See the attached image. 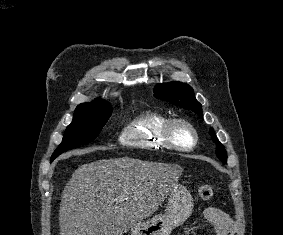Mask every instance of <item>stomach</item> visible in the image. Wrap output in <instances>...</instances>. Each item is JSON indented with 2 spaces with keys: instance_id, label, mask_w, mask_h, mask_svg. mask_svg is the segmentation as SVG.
<instances>
[{
  "instance_id": "stomach-1",
  "label": "stomach",
  "mask_w": 283,
  "mask_h": 235,
  "mask_svg": "<svg viewBox=\"0 0 283 235\" xmlns=\"http://www.w3.org/2000/svg\"><path fill=\"white\" fill-rule=\"evenodd\" d=\"M167 195L164 213L131 226L130 235H170L191 215L194 202L186 187L173 183Z\"/></svg>"
}]
</instances>
